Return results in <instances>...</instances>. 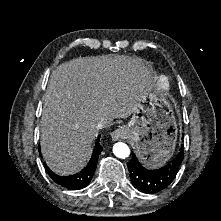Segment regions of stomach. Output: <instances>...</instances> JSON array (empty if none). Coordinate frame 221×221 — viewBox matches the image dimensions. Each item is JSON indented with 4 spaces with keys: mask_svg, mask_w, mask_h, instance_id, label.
Wrapping results in <instances>:
<instances>
[{
    "mask_svg": "<svg viewBox=\"0 0 221 221\" xmlns=\"http://www.w3.org/2000/svg\"><path fill=\"white\" fill-rule=\"evenodd\" d=\"M125 131L146 166L165 163L175 150L177 125L172 106L150 93L138 101Z\"/></svg>",
    "mask_w": 221,
    "mask_h": 221,
    "instance_id": "obj_1",
    "label": "stomach"
}]
</instances>
